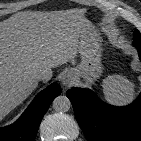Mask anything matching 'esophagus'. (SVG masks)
<instances>
[{"label": "esophagus", "instance_id": "34e87169", "mask_svg": "<svg viewBox=\"0 0 141 141\" xmlns=\"http://www.w3.org/2000/svg\"><path fill=\"white\" fill-rule=\"evenodd\" d=\"M72 81H73V78L69 74L64 75L63 78H62V84H63V86H69V85H71Z\"/></svg>", "mask_w": 141, "mask_h": 141}]
</instances>
